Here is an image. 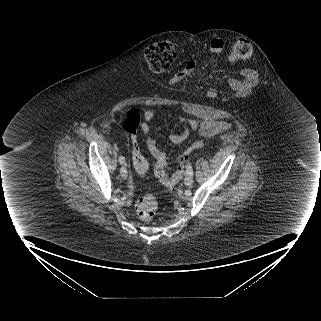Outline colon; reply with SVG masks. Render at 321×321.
I'll use <instances>...</instances> for the list:
<instances>
[{
    "label": "colon",
    "instance_id": "1",
    "mask_svg": "<svg viewBox=\"0 0 321 321\" xmlns=\"http://www.w3.org/2000/svg\"><path fill=\"white\" fill-rule=\"evenodd\" d=\"M252 53V46L245 39L238 40L231 49L229 61L240 62L247 59ZM176 56L175 48L172 44L163 42L150 45L146 48L144 57L154 72H165L172 65ZM141 118L140 110L128 108L123 112L121 126L127 132H135L139 126ZM133 166L137 174L144 176L148 163L139 151L137 143L133 142ZM185 169V160L180 164L178 170L171 176L158 173V177L167 188H173L182 178ZM136 212L142 221L150 222L154 219L157 211V201L153 194H147L140 198L135 205Z\"/></svg>",
    "mask_w": 321,
    "mask_h": 321
}]
</instances>
